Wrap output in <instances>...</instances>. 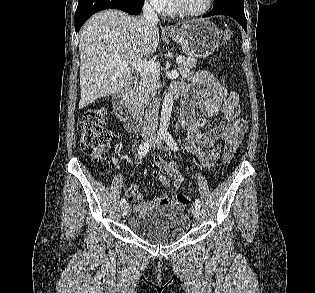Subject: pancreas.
Masks as SVG:
<instances>
[{
  "label": "pancreas",
  "mask_w": 315,
  "mask_h": 293,
  "mask_svg": "<svg viewBox=\"0 0 315 293\" xmlns=\"http://www.w3.org/2000/svg\"><path fill=\"white\" fill-rule=\"evenodd\" d=\"M184 61L178 65V70L182 79H191L194 74V67L197 61L192 58L183 57ZM152 81H159L157 74L148 72L141 78L139 84L134 88L130 95V101L134 106L142 107L148 99L150 93V84Z\"/></svg>",
  "instance_id": "1"
}]
</instances>
